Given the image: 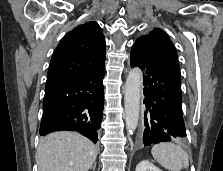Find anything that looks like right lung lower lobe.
I'll use <instances>...</instances> for the list:
<instances>
[{"instance_id": "obj_1", "label": "right lung lower lobe", "mask_w": 223, "mask_h": 171, "mask_svg": "<svg viewBox=\"0 0 223 171\" xmlns=\"http://www.w3.org/2000/svg\"><path fill=\"white\" fill-rule=\"evenodd\" d=\"M105 65L89 75L45 89L40 135L77 131L94 143L103 116Z\"/></svg>"}]
</instances>
